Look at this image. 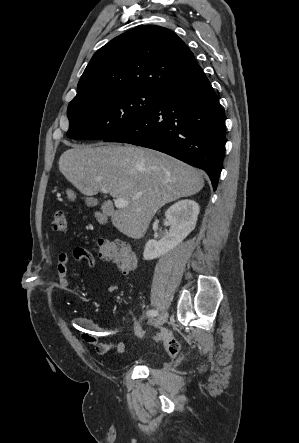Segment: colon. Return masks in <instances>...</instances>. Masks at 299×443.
Segmentation results:
<instances>
[{"instance_id": "5ec220e1", "label": "colon", "mask_w": 299, "mask_h": 443, "mask_svg": "<svg viewBox=\"0 0 299 443\" xmlns=\"http://www.w3.org/2000/svg\"><path fill=\"white\" fill-rule=\"evenodd\" d=\"M53 230L59 233H66L68 230L67 218L64 212L55 213ZM99 257L106 261H112L123 273H129L135 270L137 266V257L131 246L121 240L100 239L98 241ZM155 339L161 341L166 346L172 356L181 352V342L168 330L162 329L156 335Z\"/></svg>"}]
</instances>
